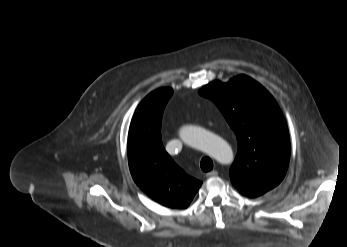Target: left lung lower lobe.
Masks as SVG:
<instances>
[{
	"instance_id": "0a47b994",
	"label": "left lung lower lobe",
	"mask_w": 347,
	"mask_h": 247,
	"mask_svg": "<svg viewBox=\"0 0 347 247\" xmlns=\"http://www.w3.org/2000/svg\"><path fill=\"white\" fill-rule=\"evenodd\" d=\"M242 194L249 196V197H257L260 196L262 194H260L259 192H253V191H249V190H239Z\"/></svg>"
}]
</instances>
